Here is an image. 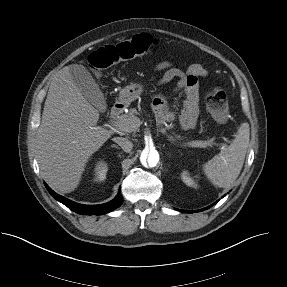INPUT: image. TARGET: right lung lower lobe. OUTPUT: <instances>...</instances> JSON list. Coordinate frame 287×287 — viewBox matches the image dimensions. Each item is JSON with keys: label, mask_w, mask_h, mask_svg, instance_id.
Returning a JSON list of instances; mask_svg holds the SVG:
<instances>
[{"label": "right lung lower lobe", "mask_w": 287, "mask_h": 287, "mask_svg": "<svg viewBox=\"0 0 287 287\" xmlns=\"http://www.w3.org/2000/svg\"><path fill=\"white\" fill-rule=\"evenodd\" d=\"M47 190L49 193L58 201L63 203L65 206H67L69 209L75 211L76 213L82 214V215H101L106 214L117 207H119L122 204L121 195L118 194L115 199L112 201L100 204V205H82L76 202H73L67 198H64L58 194H56L48 185H46ZM120 191V190H119Z\"/></svg>", "instance_id": "98d812e1"}]
</instances>
